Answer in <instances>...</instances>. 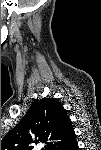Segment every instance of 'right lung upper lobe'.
Masks as SVG:
<instances>
[{"mask_svg":"<svg viewBox=\"0 0 101 150\" xmlns=\"http://www.w3.org/2000/svg\"><path fill=\"white\" fill-rule=\"evenodd\" d=\"M75 134L66 110L55 98L36 100L29 111L1 141L2 150H30L32 143H46L57 150H66Z\"/></svg>","mask_w":101,"mask_h":150,"instance_id":"1","label":"right lung upper lobe"}]
</instances>
